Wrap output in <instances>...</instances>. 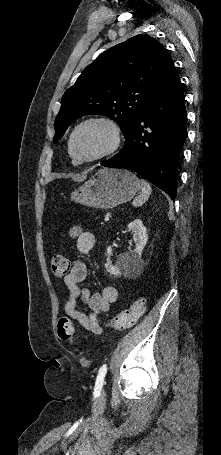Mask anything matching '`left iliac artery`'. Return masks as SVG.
Here are the masks:
<instances>
[{
    "label": "left iliac artery",
    "instance_id": "left-iliac-artery-1",
    "mask_svg": "<svg viewBox=\"0 0 221 455\" xmlns=\"http://www.w3.org/2000/svg\"><path fill=\"white\" fill-rule=\"evenodd\" d=\"M106 373H107V365L104 364L99 369V372H98V375H97V378H96V383H95V389L96 390H101L102 389Z\"/></svg>",
    "mask_w": 221,
    "mask_h": 455
}]
</instances>
